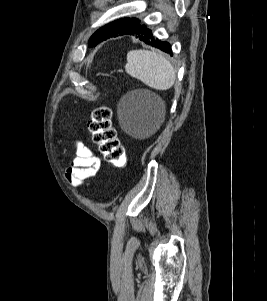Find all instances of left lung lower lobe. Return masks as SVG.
<instances>
[{"mask_svg":"<svg viewBox=\"0 0 267 301\" xmlns=\"http://www.w3.org/2000/svg\"><path fill=\"white\" fill-rule=\"evenodd\" d=\"M125 34L134 36V37L138 38L139 40L144 41L145 43H147L151 46L157 47L160 50H162L166 53H170V55H172L170 44L167 42H163V41L154 39L152 36L151 30L147 29L146 26H144V25L140 24L124 34L112 35L111 37H117L119 35H125Z\"/></svg>","mask_w":267,"mask_h":301,"instance_id":"0a47b994","label":"left lung lower lobe"}]
</instances>
